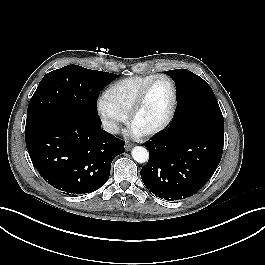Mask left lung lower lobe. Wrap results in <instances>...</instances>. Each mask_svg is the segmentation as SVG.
Instances as JSON below:
<instances>
[{
    "label": "left lung lower lobe",
    "instance_id": "0a47b994",
    "mask_svg": "<svg viewBox=\"0 0 265 265\" xmlns=\"http://www.w3.org/2000/svg\"><path fill=\"white\" fill-rule=\"evenodd\" d=\"M224 131L202 124L169 127L145 143L149 161L141 169L144 185L168 201L189 197L211 178L220 163Z\"/></svg>",
    "mask_w": 265,
    "mask_h": 265
}]
</instances>
